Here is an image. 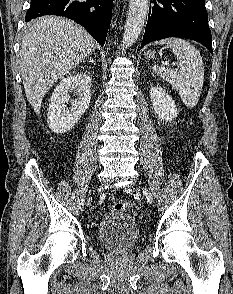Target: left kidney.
I'll return each instance as SVG.
<instances>
[{
	"instance_id": "5707ae66",
	"label": "left kidney",
	"mask_w": 233,
	"mask_h": 294,
	"mask_svg": "<svg viewBox=\"0 0 233 294\" xmlns=\"http://www.w3.org/2000/svg\"><path fill=\"white\" fill-rule=\"evenodd\" d=\"M150 97L154 112L161 120L172 122L178 115L175 102L172 97L160 86L150 89Z\"/></svg>"
}]
</instances>
